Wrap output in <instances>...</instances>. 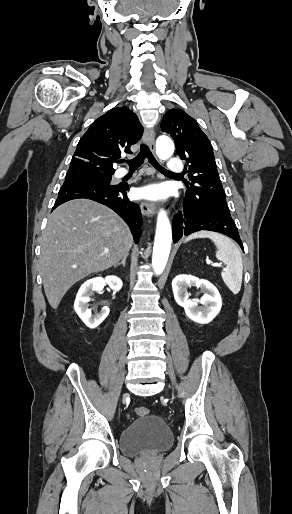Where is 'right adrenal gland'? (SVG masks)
<instances>
[{"label":"right adrenal gland","instance_id":"obj_1","mask_svg":"<svg viewBox=\"0 0 292 514\" xmlns=\"http://www.w3.org/2000/svg\"><path fill=\"white\" fill-rule=\"evenodd\" d=\"M126 258H127V256H126ZM126 258H123L122 262H120V264H116V266H114V268H117V266H121V264H122L123 268H125Z\"/></svg>","mask_w":292,"mask_h":514}]
</instances>
